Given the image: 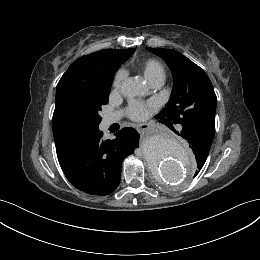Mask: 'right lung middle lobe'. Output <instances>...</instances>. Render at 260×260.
<instances>
[{
    "instance_id": "right-lung-middle-lobe-1",
    "label": "right lung middle lobe",
    "mask_w": 260,
    "mask_h": 260,
    "mask_svg": "<svg viewBox=\"0 0 260 260\" xmlns=\"http://www.w3.org/2000/svg\"><path fill=\"white\" fill-rule=\"evenodd\" d=\"M105 63L83 74L62 76L56 87L52 127L54 135L65 136L97 128L99 111L108 103L110 87L119 66L133 53Z\"/></svg>"
}]
</instances>
